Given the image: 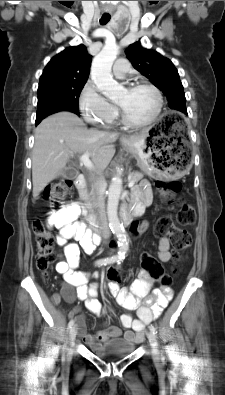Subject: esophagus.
I'll use <instances>...</instances> for the list:
<instances>
[{
	"label": "esophagus",
	"instance_id": "34e87169",
	"mask_svg": "<svg viewBox=\"0 0 225 395\" xmlns=\"http://www.w3.org/2000/svg\"><path fill=\"white\" fill-rule=\"evenodd\" d=\"M122 138H123V139H126V136H123Z\"/></svg>",
	"mask_w": 225,
	"mask_h": 395
}]
</instances>
